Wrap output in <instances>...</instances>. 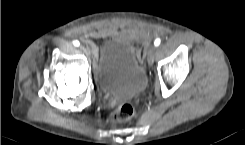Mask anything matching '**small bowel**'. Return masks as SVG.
Instances as JSON below:
<instances>
[{
	"mask_svg": "<svg viewBox=\"0 0 245 145\" xmlns=\"http://www.w3.org/2000/svg\"><path fill=\"white\" fill-rule=\"evenodd\" d=\"M113 31L110 29H106V28H99L96 33H95V37L96 38H103L109 34H111ZM126 36L129 37H134V38H143L146 39L149 37L150 32L147 29H140V30H129L125 32Z\"/></svg>",
	"mask_w": 245,
	"mask_h": 145,
	"instance_id": "1",
	"label": "small bowel"
}]
</instances>
